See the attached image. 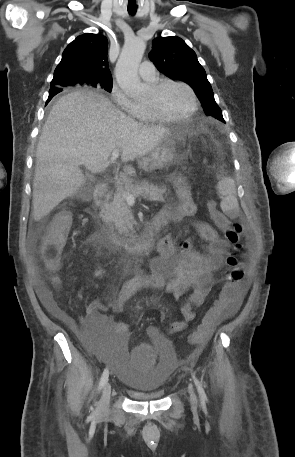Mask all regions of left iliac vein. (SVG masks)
<instances>
[{
	"instance_id": "1",
	"label": "left iliac vein",
	"mask_w": 295,
	"mask_h": 457,
	"mask_svg": "<svg viewBox=\"0 0 295 457\" xmlns=\"http://www.w3.org/2000/svg\"><path fill=\"white\" fill-rule=\"evenodd\" d=\"M188 393H189V401H190L191 405L193 407H196L198 404V398L191 385H189V387H188Z\"/></svg>"
}]
</instances>
